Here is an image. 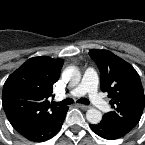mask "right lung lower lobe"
<instances>
[{
    "label": "right lung lower lobe",
    "instance_id": "98d812e1",
    "mask_svg": "<svg viewBox=\"0 0 145 145\" xmlns=\"http://www.w3.org/2000/svg\"><path fill=\"white\" fill-rule=\"evenodd\" d=\"M67 110H68V107H65L62 111L58 112L53 117V119L50 120L46 125L38 129L26 132L23 135L29 140H32L35 142H43L52 138L60 130Z\"/></svg>",
    "mask_w": 145,
    "mask_h": 145
}]
</instances>
